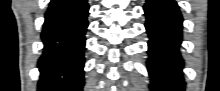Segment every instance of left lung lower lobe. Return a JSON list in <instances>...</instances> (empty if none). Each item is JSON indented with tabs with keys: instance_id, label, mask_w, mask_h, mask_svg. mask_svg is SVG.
<instances>
[{
	"instance_id": "left-lung-lower-lobe-1",
	"label": "left lung lower lobe",
	"mask_w": 220,
	"mask_h": 91,
	"mask_svg": "<svg viewBox=\"0 0 220 91\" xmlns=\"http://www.w3.org/2000/svg\"><path fill=\"white\" fill-rule=\"evenodd\" d=\"M149 36L147 68L152 91H182L184 61L180 48L183 18L174 0H147L144 6Z\"/></svg>"
}]
</instances>
